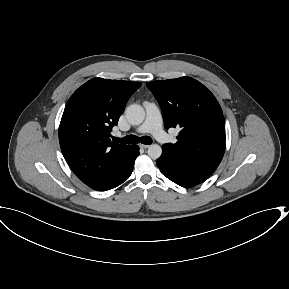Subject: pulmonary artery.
Here are the masks:
<instances>
[{
  "mask_svg": "<svg viewBox=\"0 0 289 289\" xmlns=\"http://www.w3.org/2000/svg\"><path fill=\"white\" fill-rule=\"evenodd\" d=\"M146 110V119L144 123L136 129L137 133H151L156 139L161 142L168 140V135L162 127V116L158 106L153 102H144Z\"/></svg>",
  "mask_w": 289,
  "mask_h": 289,
  "instance_id": "pulmonary-artery-1",
  "label": "pulmonary artery"
}]
</instances>
